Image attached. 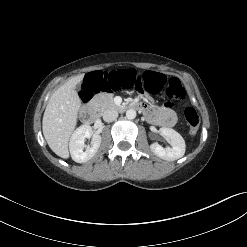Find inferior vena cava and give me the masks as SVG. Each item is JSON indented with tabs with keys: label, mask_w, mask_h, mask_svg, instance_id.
<instances>
[{
	"label": "inferior vena cava",
	"mask_w": 247,
	"mask_h": 247,
	"mask_svg": "<svg viewBox=\"0 0 247 247\" xmlns=\"http://www.w3.org/2000/svg\"><path fill=\"white\" fill-rule=\"evenodd\" d=\"M117 117H118V112L116 110H113V109H107L103 113V120L105 122H112V121L116 120Z\"/></svg>",
	"instance_id": "obj_1"
}]
</instances>
